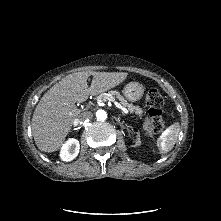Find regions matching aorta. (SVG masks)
Listing matches in <instances>:
<instances>
[{
    "label": "aorta",
    "instance_id": "762f6f07",
    "mask_svg": "<svg viewBox=\"0 0 221 221\" xmlns=\"http://www.w3.org/2000/svg\"><path fill=\"white\" fill-rule=\"evenodd\" d=\"M96 117L99 121H104L107 118V113L104 110L100 109L96 112Z\"/></svg>",
    "mask_w": 221,
    "mask_h": 221
}]
</instances>
